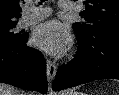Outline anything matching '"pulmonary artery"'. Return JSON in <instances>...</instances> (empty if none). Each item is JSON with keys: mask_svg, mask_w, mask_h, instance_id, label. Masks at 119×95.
Here are the masks:
<instances>
[{"mask_svg": "<svg viewBox=\"0 0 119 95\" xmlns=\"http://www.w3.org/2000/svg\"><path fill=\"white\" fill-rule=\"evenodd\" d=\"M59 8L62 11H70L72 9V4L69 1L61 0L59 1ZM51 10L49 8H33L29 7L27 12L22 17L20 24L21 26H27L36 21L42 20L49 16Z\"/></svg>", "mask_w": 119, "mask_h": 95, "instance_id": "e3ab8cb5", "label": "pulmonary artery"}]
</instances>
